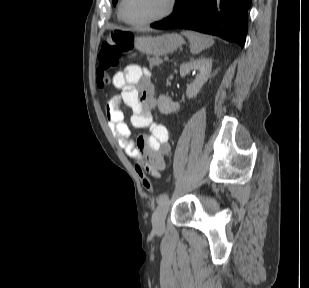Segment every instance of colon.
<instances>
[{
    "instance_id": "colon-1",
    "label": "colon",
    "mask_w": 309,
    "mask_h": 288,
    "mask_svg": "<svg viewBox=\"0 0 309 288\" xmlns=\"http://www.w3.org/2000/svg\"><path fill=\"white\" fill-rule=\"evenodd\" d=\"M134 43L133 34L129 31L117 30L100 45L96 82L99 88H105L111 82L110 72L119 65L121 58L128 53ZM135 169L139 173L144 188L152 192L153 186L146 176L142 164L137 162Z\"/></svg>"
}]
</instances>
